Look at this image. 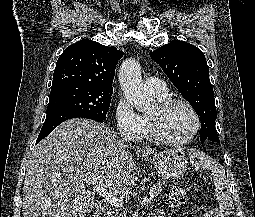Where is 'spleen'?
Wrapping results in <instances>:
<instances>
[{"label":"spleen","mask_w":255,"mask_h":217,"mask_svg":"<svg viewBox=\"0 0 255 217\" xmlns=\"http://www.w3.org/2000/svg\"><path fill=\"white\" fill-rule=\"evenodd\" d=\"M195 167L196 168H210L213 171L214 176H218L215 174L219 173V177H222V173L219 171V168L216 165H211L209 160H207V158L205 157V155L203 154H199V156L197 157V161L195 163Z\"/></svg>","instance_id":"1"}]
</instances>
